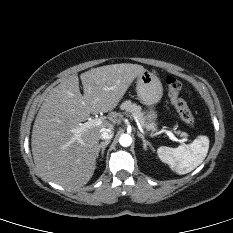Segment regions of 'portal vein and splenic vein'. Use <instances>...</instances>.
I'll list each match as a JSON object with an SVG mask.
<instances>
[{
    "label": "portal vein and splenic vein",
    "mask_w": 233,
    "mask_h": 233,
    "mask_svg": "<svg viewBox=\"0 0 233 233\" xmlns=\"http://www.w3.org/2000/svg\"><path fill=\"white\" fill-rule=\"evenodd\" d=\"M103 121L104 120L102 118H95V119H90L86 123L80 124V126L74 130V132L76 133V139L81 141V133L83 131H86L87 129H89L93 126L101 125L103 123ZM165 133L168 135V137L172 141H178V139L175 137V135L172 132L165 131Z\"/></svg>",
    "instance_id": "18ae733b"
}]
</instances>
